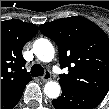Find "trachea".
Here are the masks:
<instances>
[{"instance_id": "3493384b", "label": "trachea", "mask_w": 109, "mask_h": 109, "mask_svg": "<svg viewBox=\"0 0 109 109\" xmlns=\"http://www.w3.org/2000/svg\"><path fill=\"white\" fill-rule=\"evenodd\" d=\"M44 74V69L39 64H34L31 68V75L33 77L42 76Z\"/></svg>"}]
</instances>
